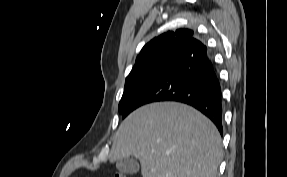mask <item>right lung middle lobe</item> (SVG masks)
I'll list each match as a JSON object with an SVG mask.
<instances>
[{
    "label": "right lung middle lobe",
    "instance_id": "obj_1",
    "mask_svg": "<svg viewBox=\"0 0 287 177\" xmlns=\"http://www.w3.org/2000/svg\"><path fill=\"white\" fill-rule=\"evenodd\" d=\"M180 62L181 60L177 57H168L147 68L129 74L126 78L124 93L119 103V112L123 114L154 80Z\"/></svg>",
    "mask_w": 287,
    "mask_h": 177
}]
</instances>
